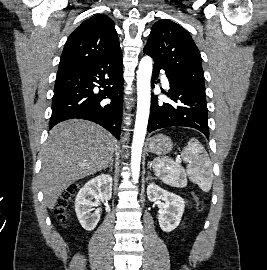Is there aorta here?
<instances>
[{
	"label": "aorta",
	"instance_id": "aorta-1",
	"mask_svg": "<svg viewBox=\"0 0 267 270\" xmlns=\"http://www.w3.org/2000/svg\"><path fill=\"white\" fill-rule=\"evenodd\" d=\"M152 67V58L144 56L137 71V113L131 151V170L134 183H138L139 180L141 154L149 118Z\"/></svg>",
	"mask_w": 267,
	"mask_h": 270
}]
</instances>
